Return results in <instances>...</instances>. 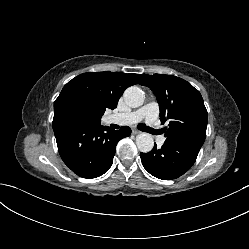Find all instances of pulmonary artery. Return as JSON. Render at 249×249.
I'll return each instance as SVG.
<instances>
[{
	"mask_svg": "<svg viewBox=\"0 0 249 249\" xmlns=\"http://www.w3.org/2000/svg\"><path fill=\"white\" fill-rule=\"evenodd\" d=\"M159 105L157 102H149L140 109L127 113H118L113 115L112 119L115 123L130 125L141 120H145L146 124L151 129L158 128ZM157 143L163 145L165 138L157 136Z\"/></svg>",
	"mask_w": 249,
	"mask_h": 249,
	"instance_id": "obj_1",
	"label": "pulmonary artery"
}]
</instances>
